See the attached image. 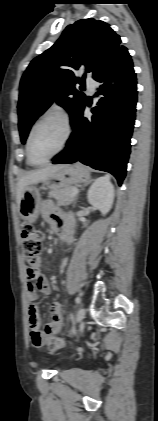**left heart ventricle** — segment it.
I'll use <instances>...</instances> for the list:
<instances>
[{
	"instance_id": "b2bd125f",
	"label": "left heart ventricle",
	"mask_w": 158,
	"mask_h": 421,
	"mask_svg": "<svg viewBox=\"0 0 158 421\" xmlns=\"http://www.w3.org/2000/svg\"><path fill=\"white\" fill-rule=\"evenodd\" d=\"M64 138V126L56 118L41 122L33 132L30 154L34 162H42L50 157L61 145Z\"/></svg>"
}]
</instances>
